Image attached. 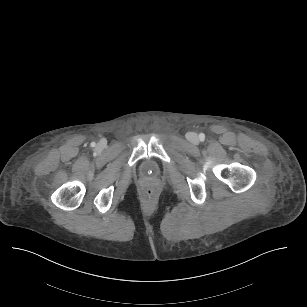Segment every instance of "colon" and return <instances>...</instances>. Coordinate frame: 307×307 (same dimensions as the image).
I'll return each instance as SVG.
<instances>
[{
    "label": "colon",
    "instance_id": "colon-1",
    "mask_svg": "<svg viewBox=\"0 0 307 307\" xmlns=\"http://www.w3.org/2000/svg\"><path fill=\"white\" fill-rule=\"evenodd\" d=\"M142 197L146 201H153L157 197V190L153 186H146L142 190Z\"/></svg>",
    "mask_w": 307,
    "mask_h": 307
}]
</instances>
